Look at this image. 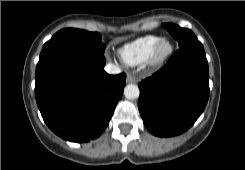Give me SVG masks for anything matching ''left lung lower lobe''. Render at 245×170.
Here are the masks:
<instances>
[{
    "instance_id": "obj_1",
    "label": "left lung lower lobe",
    "mask_w": 245,
    "mask_h": 170,
    "mask_svg": "<svg viewBox=\"0 0 245 170\" xmlns=\"http://www.w3.org/2000/svg\"><path fill=\"white\" fill-rule=\"evenodd\" d=\"M138 86V108L153 135L171 137L185 132L202 114L209 98L205 52L180 48L161 70Z\"/></svg>"
}]
</instances>
